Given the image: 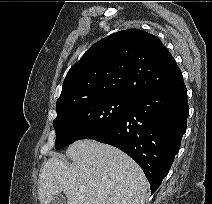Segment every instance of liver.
Instances as JSON below:
<instances>
[{
	"mask_svg": "<svg viewBox=\"0 0 212 204\" xmlns=\"http://www.w3.org/2000/svg\"><path fill=\"white\" fill-rule=\"evenodd\" d=\"M68 166L54 154L43 165L38 180V198L49 204L61 192L67 204H144L148 181L139 165L108 144L84 139L71 144ZM84 186L85 191L79 188Z\"/></svg>",
	"mask_w": 212,
	"mask_h": 204,
	"instance_id": "6515ba94",
	"label": "liver"
}]
</instances>
